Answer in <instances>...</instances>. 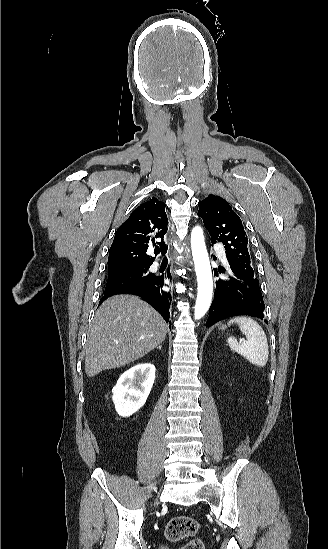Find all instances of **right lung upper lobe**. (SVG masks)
<instances>
[{"mask_svg":"<svg viewBox=\"0 0 328 549\" xmlns=\"http://www.w3.org/2000/svg\"><path fill=\"white\" fill-rule=\"evenodd\" d=\"M168 220L165 203L152 197L136 208L118 228L110 248L108 274L130 269L149 268L155 260L146 254L148 247L159 244L155 253L165 254L163 242ZM161 239V242H155Z\"/></svg>","mask_w":328,"mask_h":549,"instance_id":"right-lung-upper-lobe-1","label":"right lung upper lobe"}]
</instances>
